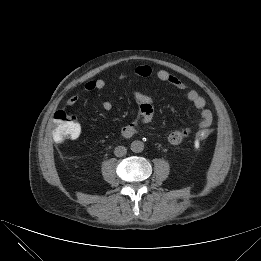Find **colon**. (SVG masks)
Here are the masks:
<instances>
[{
	"instance_id": "1",
	"label": "colon",
	"mask_w": 261,
	"mask_h": 261,
	"mask_svg": "<svg viewBox=\"0 0 261 261\" xmlns=\"http://www.w3.org/2000/svg\"><path fill=\"white\" fill-rule=\"evenodd\" d=\"M212 133L209 127L200 128L195 136V146L207 139ZM80 134V125L77 119L64 110L57 111L53 119L52 137L57 143L64 142L68 139H74Z\"/></svg>"
}]
</instances>
